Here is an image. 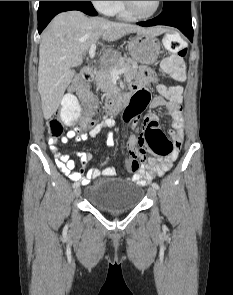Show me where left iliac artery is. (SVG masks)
<instances>
[{"mask_svg": "<svg viewBox=\"0 0 233 295\" xmlns=\"http://www.w3.org/2000/svg\"><path fill=\"white\" fill-rule=\"evenodd\" d=\"M152 187H154L155 189H158L159 188V185L157 183H152Z\"/></svg>", "mask_w": 233, "mask_h": 295, "instance_id": "left-iliac-artery-1", "label": "left iliac artery"}]
</instances>
